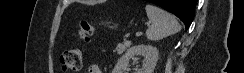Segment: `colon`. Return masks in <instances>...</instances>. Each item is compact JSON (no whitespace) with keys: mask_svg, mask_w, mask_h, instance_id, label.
<instances>
[{"mask_svg":"<svg viewBox=\"0 0 244 73\" xmlns=\"http://www.w3.org/2000/svg\"><path fill=\"white\" fill-rule=\"evenodd\" d=\"M95 32V25L90 21H82L79 26V36L83 40H88ZM62 67L70 73H79L83 65V50L80 47H70L66 49L60 58Z\"/></svg>","mask_w":244,"mask_h":73,"instance_id":"colon-1","label":"colon"}]
</instances>
